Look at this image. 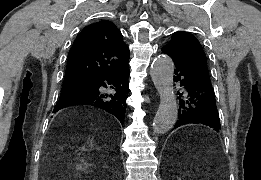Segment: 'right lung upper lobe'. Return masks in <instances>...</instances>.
<instances>
[{"label":"right lung upper lobe","instance_id":"obj_1","mask_svg":"<svg viewBox=\"0 0 261 180\" xmlns=\"http://www.w3.org/2000/svg\"><path fill=\"white\" fill-rule=\"evenodd\" d=\"M129 49L110 21L86 26L75 39L67 59L64 81H93L98 75L128 65Z\"/></svg>","mask_w":261,"mask_h":180}]
</instances>
